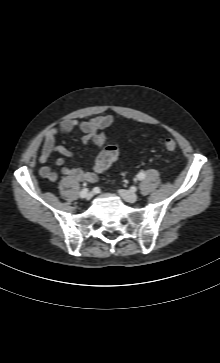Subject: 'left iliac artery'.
Returning a JSON list of instances; mask_svg holds the SVG:
<instances>
[{"instance_id":"obj_1","label":"left iliac artery","mask_w":220,"mask_h":363,"mask_svg":"<svg viewBox=\"0 0 220 363\" xmlns=\"http://www.w3.org/2000/svg\"><path fill=\"white\" fill-rule=\"evenodd\" d=\"M145 173L143 171L139 172L137 175V179L138 180H143L145 178Z\"/></svg>"}]
</instances>
